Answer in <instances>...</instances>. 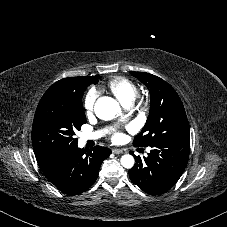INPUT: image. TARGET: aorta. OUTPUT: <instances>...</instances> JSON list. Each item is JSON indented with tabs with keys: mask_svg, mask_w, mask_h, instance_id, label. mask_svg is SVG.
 <instances>
[{
	"mask_svg": "<svg viewBox=\"0 0 227 227\" xmlns=\"http://www.w3.org/2000/svg\"><path fill=\"white\" fill-rule=\"evenodd\" d=\"M94 111L99 119L111 120L121 113V108L115 99L104 96L97 100ZM120 162L121 165L127 169L132 168L135 163L133 156L130 154L123 155Z\"/></svg>",
	"mask_w": 227,
	"mask_h": 227,
	"instance_id": "762f6f07",
	"label": "aorta"
}]
</instances>
